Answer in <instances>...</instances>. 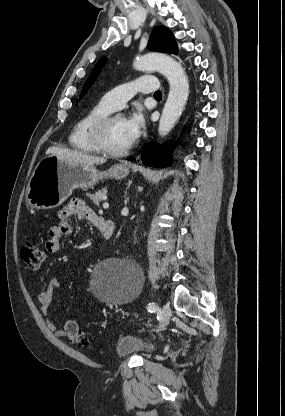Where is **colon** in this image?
Returning <instances> with one entry per match:
<instances>
[{
    "mask_svg": "<svg viewBox=\"0 0 285 416\" xmlns=\"http://www.w3.org/2000/svg\"><path fill=\"white\" fill-rule=\"evenodd\" d=\"M20 255L28 268L33 271L39 270L45 259L43 249L32 242H26L22 246ZM64 329L65 335L71 343L79 347L87 346V339L82 334L79 325L75 320H68Z\"/></svg>",
    "mask_w": 285,
    "mask_h": 416,
    "instance_id": "5ec220e1",
    "label": "colon"
}]
</instances>
